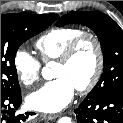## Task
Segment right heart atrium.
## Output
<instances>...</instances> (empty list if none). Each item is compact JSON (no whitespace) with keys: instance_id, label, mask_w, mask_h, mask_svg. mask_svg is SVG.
<instances>
[{"instance_id":"1","label":"right heart atrium","mask_w":123,"mask_h":123,"mask_svg":"<svg viewBox=\"0 0 123 123\" xmlns=\"http://www.w3.org/2000/svg\"><path fill=\"white\" fill-rule=\"evenodd\" d=\"M13 65L19 81L30 87L40 76L41 63L25 48H18L13 56Z\"/></svg>"}]
</instances>
